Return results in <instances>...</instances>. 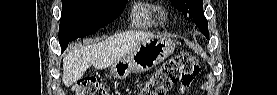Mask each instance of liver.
Masks as SVG:
<instances>
[{"label": "liver", "mask_w": 277, "mask_h": 95, "mask_svg": "<svg viewBox=\"0 0 277 95\" xmlns=\"http://www.w3.org/2000/svg\"><path fill=\"white\" fill-rule=\"evenodd\" d=\"M155 35L142 31L115 34L106 40L88 46L77 45L63 57V83L71 86L88 68L105 69L121 60L131 50Z\"/></svg>", "instance_id": "6515ba94"}]
</instances>
